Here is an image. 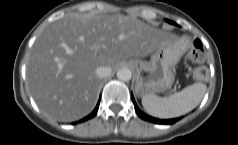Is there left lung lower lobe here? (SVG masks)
Wrapping results in <instances>:
<instances>
[{
    "label": "left lung lower lobe",
    "instance_id": "1",
    "mask_svg": "<svg viewBox=\"0 0 238 145\" xmlns=\"http://www.w3.org/2000/svg\"><path fill=\"white\" fill-rule=\"evenodd\" d=\"M131 97H132V101L134 103V107H135V111L136 113L138 114L139 117H141L143 120H146V121H150V122H153V123H157V124H173L175 123L176 121H178L180 118H176V119H168V120H160V119H157V118H153L151 116H148L146 115L145 113H143L137 106L136 102H135V99L133 97V94H131Z\"/></svg>",
    "mask_w": 238,
    "mask_h": 145
}]
</instances>
